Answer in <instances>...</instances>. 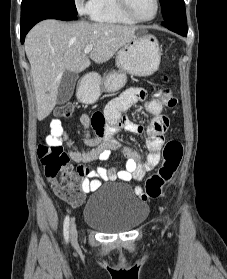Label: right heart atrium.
Returning a JSON list of instances; mask_svg holds the SVG:
<instances>
[{"mask_svg": "<svg viewBox=\"0 0 227 279\" xmlns=\"http://www.w3.org/2000/svg\"><path fill=\"white\" fill-rule=\"evenodd\" d=\"M77 8L83 12L90 14L95 8L98 0H74Z\"/></svg>", "mask_w": 227, "mask_h": 279, "instance_id": "d8ad5b80", "label": "right heart atrium"}]
</instances>
